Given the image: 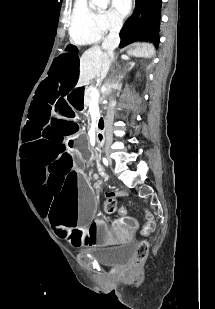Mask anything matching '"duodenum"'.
Masks as SVG:
<instances>
[{
	"instance_id": "410a0bca",
	"label": "duodenum",
	"mask_w": 215,
	"mask_h": 309,
	"mask_svg": "<svg viewBox=\"0 0 215 309\" xmlns=\"http://www.w3.org/2000/svg\"><path fill=\"white\" fill-rule=\"evenodd\" d=\"M104 124H105L104 118L99 117L97 119V128H96V134H95L96 135V144L99 147H104L106 145ZM153 225L155 226L154 222H153Z\"/></svg>"
}]
</instances>
